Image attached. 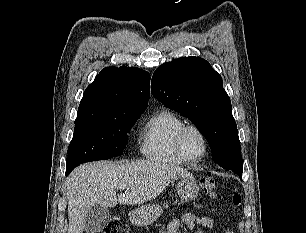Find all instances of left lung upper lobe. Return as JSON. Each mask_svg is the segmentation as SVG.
Masks as SVG:
<instances>
[{"label":"left lung upper lobe","instance_id":"left-lung-upper-lobe-1","mask_svg":"<svg viewBox=\"0 0 306 233\" xmlns=\"http://www.w3.org/2000/svg\"><path fill=\"white\" fill-rule=\"evenodd\" d=\"M154 97L197 125L211 147L213 160L242 172L243 161L235 119L221 76L200 57H181L155 71Z\"/></svg>","mask_w":306,"mask_h":233}]
</instances>
